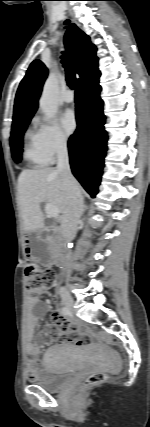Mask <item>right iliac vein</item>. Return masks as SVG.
Segmentation results:
<instances>
[{
    "label": "right iliac vein",
    "instance_id": "right-iliac-vein-1",
    "mask_svg": "<svg viewBox=\"0 0 150 427\" xmlns=\"http://www.w3.org/2000/svg\"><path fill=\"white\" fill-rule=\"evenodd\" d=\"M61 298H62V302L66 306V308L69 310H73L74 300H73L72 296L68 292L63 291L61 293Z\"/></svg>",
    "mask_w": 150,
    "mask_h": 427
}]
</instances>
